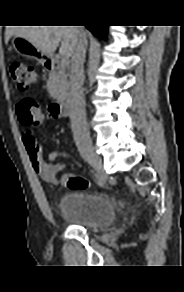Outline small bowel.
Listing matches in <instances>:
<instances>
[{"mask_svg": "<svg viewBox=\"0 0 184 292\" xmlns=\"http://www.w3.org/2000/svg\"><path fill=\"white\" fill-rule=\"evenodd\" d=\"M21 139L34 172L43 181L50 184H58V175L64 170L65 165L63 163H57L56 160L64 159L74 161V159L67 152L59 150L52 151L49 153L48 158L45 159L43 146L37 141L34 133L30 129L22 132ZM66 176L60 181L63 185H65Z\"/></svg>", "mask_w": 184, "mask_h": 292, "instance_id": "obj_1", "label": "small bowel"}]
</instances>
